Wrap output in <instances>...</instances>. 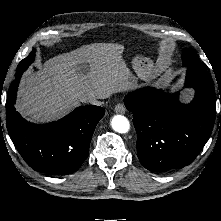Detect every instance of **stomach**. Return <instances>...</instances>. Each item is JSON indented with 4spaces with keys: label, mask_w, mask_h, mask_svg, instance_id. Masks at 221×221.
Segmentation results:
<instances>
[{
    "label": "stomach",
    "mask_w": 221,
    "mask_h": 221,
    "mask_svg": "<svg viewBox=\"0 0 221 221\" xmlns=\"http://www.w3.org/2000/svg\"><path fill=\"white\" fill-rule=\"evenodd\" d=\"M132 65L136 74L141 79L145 81H148L151 79L153 71H154V65L151 59L137 56L133 59Z\"/></svg>",
    "instance_id": "1"
}]
</instances>
